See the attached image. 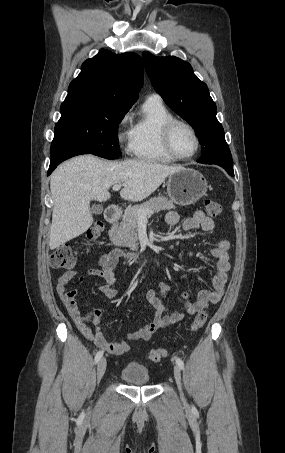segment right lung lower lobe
<instances>
[{
	"label": "right lung lower lobe",
	"mask_w": 285,
	"mask_h": 453,
	"mask_svg": "<svg viewBox=\"0 0 285 453\" xmlns=\"http://www.w3.org/2000/svg\"><path fill=\"white\" fill-rule=\"evenodd\" d=\"M50 167L48 175L64 160L76 155L85 154V151L78 145L70 143L67 140L54 136L50 149Z\"/></svg>",
	"instance_id": "98d812e1"
}]
</instances>
